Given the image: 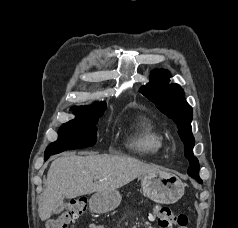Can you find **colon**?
<instances>
[{
  "mask_svg": "<svg viewBox=\"0 0 238 228\" xmlns=\"http://www.w3.org/2000/svg\"><path fill=\"white\" fill-rule=\"evenodd\" d=\"M87 202L85 198H76L68 206L55 214L46 223V228H68V226L78 219L85 211ZM152 219L160 228H186L188 218L186 215L176 213L172 209L155 205L153 208Z\"/></svg>",
  "mask_w": 238,
  "mask_h": 228,
  "instance_id": "colon-1",
  "label": "colon"
}]
</instances>
